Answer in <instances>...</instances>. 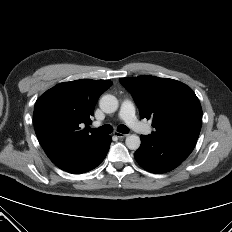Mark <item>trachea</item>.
Returning a JSON list of instances; mask_svg holds the SVG:
<instances>
[{"label":"trachea","instance_id":"1","mask_svg":"<svg viewBox=\"0 0 232 232\" xmlns=\"http://www.w3.org/2000/svg\"><path fill=\"white\" fill-rule=\"evenodd\" d=\"M89 131L96 135H107L113 131V128L111 125H103L99 127L98 129L90 128ZM117 131L123 134L129 133V129L125 125H119L117 127Z\"/></svg>","mask_w":232,"mask_h":232}]
</instances>
